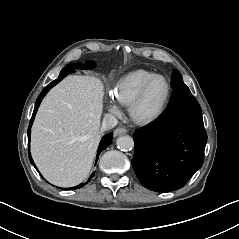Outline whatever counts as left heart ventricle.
Returning <instances> with one entry per match:
<instances>
[{"label":"left heart ventricle","instance_id":"obj_1","mask_svg":"<svg viewBox=\"0 0 239 239\" xmlns=\"http://www.w3.org/2000/svg\"><path fill=\"white\" fill-rule=\"evenodd\" d=\"M167 96V83L164 79L156 80L148 89L138 107V113L143 117L155 115L163 105Z\"/></svg>","mask_w":239,"mask_h":239}]
</instances>
